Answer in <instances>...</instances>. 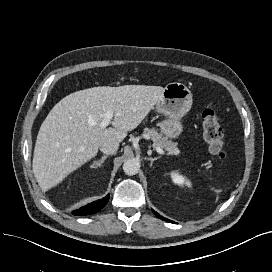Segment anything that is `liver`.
<instances>
[{
	"label": "liver",
	"instance_id": "obj_1",
	"mask_svg": "<svg viewBox=\"0 0 272 272\" xmlns=\"http://www.w3.org/2000/svg\"><path fill=\"white\" fill-rule=\"evenodd\" d=\"M161 86H101L80 90L60 100L49 112L37 135L33 173L44 190L94 158L105 142L117 143L135 129L159 101ZM112 110V126H100Z\"/></svg>",
	"mask_w": 272,
	"mask_h": 272
}]
</instances>
